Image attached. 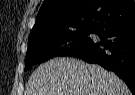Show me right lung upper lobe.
<instances>
[{
	"label": "right lung upper lobe",
	"mask_w": 135,
	"mask_h": 95,
	"mask_svg": "<svg viewBox=\"0 0 135 95\" xmlns=\"http://www.w3.org/2000/svg\"><path fill=\"white\" fill-rule=\"evenodd\" d=\"M135 15L133 0H44L31 36L95 30L108 20Z\"/></svg>",
	"instance_id": "obj_1"
}]
</instances>
